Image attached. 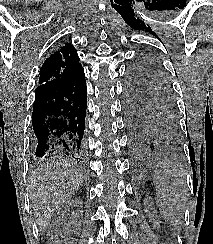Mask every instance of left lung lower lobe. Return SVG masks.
Masks as SVG:
<instances>
[{"label": "left lung lower lobe", "instance_id": "left-lung-lower-lobe-1", "mask_svg": "<svg viewBox=\"0 0 213 244\" xmlns=\"http://www.w3.org/2000/svg\"><path fill=\"white\" fill-rule=\"evenodd\" d=\"M129 148L136 157H148L158 151L162 140L156 130L141 116L125 108Z\"/></svg>", "mask_w": 213, "mask_h": 244}]
</instances>
